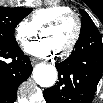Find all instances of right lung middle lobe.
I'll use <instances>...</instances> for the list:
<instances>
[{
    "mask_svg": "<svg viewBox=\"0 0 103 103\" xmlns=\"http://www.w3.org/2000/svg\"><path fill=\"white\" fill-rule=\"evenodd\" d=\"M32 12V8H7L0 7V44H17L14 37L16 25Z\"/></svg>",
    "mask_w": 103,
    "mask_h": 103,
    "instance_id": "dd1d6c3e",
    "label": "right lung middle lobe"
}]
</instances>
